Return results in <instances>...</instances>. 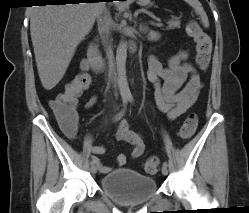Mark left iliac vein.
<instances>
[{
	"label": "left iliac vein",
	"instance_id": "left-iliac-vein-1",
	"mask_svg": "<svg viewBox=\"0 0 249 213\" xmlns=\"http://www.w3.org/2000/svg\"><path fill=\"white\" fill-rule=\"evenodd\" d=\"M162 174H163V175H167V174H168V169H167L166 166H163V167H162Z\"/></svg>",
	"mask_w": 249,
	"mask_h": 213
}]
</instances>
